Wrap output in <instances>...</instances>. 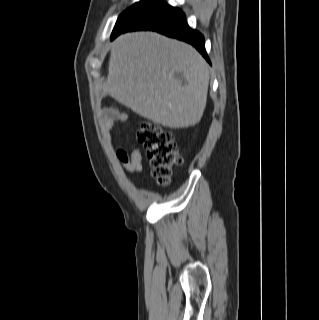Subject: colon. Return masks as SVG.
Listing matches in <instances>:
<instances>
[{
	"mask_svg": "<svg viewBox=\"0 0 319 320\" xmlns=\"http://www.w3.org/2000/svg\"><path fill=\"white\" fill-rule=\"evenodd\" d=\"M136 136L150 162L153 177L161 184L169 182L173 166L181 162L174 135L157 123L142 121Z\"/></svg>",
	"mask_w": 319,
	"mask_h": 320,
	"instance_id": "obj_1",
	"label": "colon"
}]
</instances>
